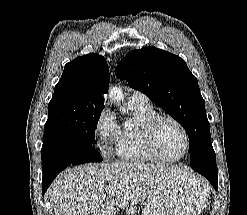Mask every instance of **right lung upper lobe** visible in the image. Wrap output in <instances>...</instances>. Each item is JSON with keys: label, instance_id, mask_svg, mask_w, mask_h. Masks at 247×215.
<instances>
[{"label": "right lung upper lobe", "instance_id": "1", "mask_svg": "<svg viewBox=\"0 0 247 215\" xmlns=\"http://www.w3.org/2000/svg\"><path fill=\"white\" fill-rule=\"evenodd\" d=\"M110 74L105 58L98 54H88L67 63L55 92L69 90L74 95L104 103L109 88Z\"/></svg>", "mask_w": 247, "mask_h": 215}]
</instances>
